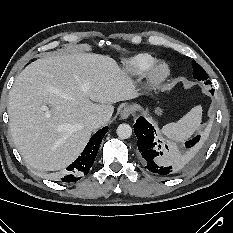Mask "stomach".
Listing matches in <instances>:
<instances>
[{"label":"stomach","mask_w":233,"mask_h":233,"mask_svg":"<svg viewBox=\"0 0 233 233\" xmlns=\"http://www.w3.org/2000/svg\"><path fill=\"white\" fill-rule=\"evenodd\" d=\"M156 112H157V113H160V112H161V110H160L159 108H157Z\"/></svg>","instance_id":"0dacf381"}]
</instances>
